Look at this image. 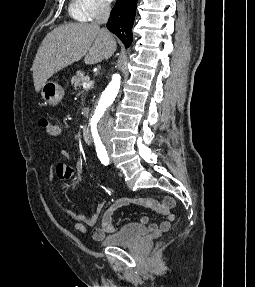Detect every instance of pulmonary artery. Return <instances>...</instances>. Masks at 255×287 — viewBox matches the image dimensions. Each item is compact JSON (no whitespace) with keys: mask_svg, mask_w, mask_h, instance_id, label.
I'll use <instances>...</instances> for the list:
<instances>
[{"mask_svg":"<svg viewBox=\"0 0 255 287\" xmlns=\"http://www.w3.org/2000/svg\"><path fill=\"white\" fill-rule=\"evenodd\" d=\"M107 39H114V38H107ZM104 48H109V47H104Z\"/></svg>","mask_w":255,"mask_h":287,"instance_id":"pulmonary-artery-1","label":"pulmonary artery"}]
</instances>
